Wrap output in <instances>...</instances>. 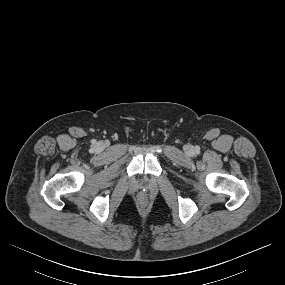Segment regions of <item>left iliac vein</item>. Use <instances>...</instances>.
<instances>
[{
	"label": "left iliac vein",
	"instance_id": "obj_1",
	"mask_svg": "<svg viewBox=\"0 0 285 285\" xmlns=\"http://www.w3.org/2000/svg\"><path fill=\"white\" fill-rule=\"evenodd\" d=\"M187 152H188V153H192V148H191V147H188V148H187Z\"/></svg>",
	"mask_w": 285,
	"mask_h": 285
}]
</instances>
